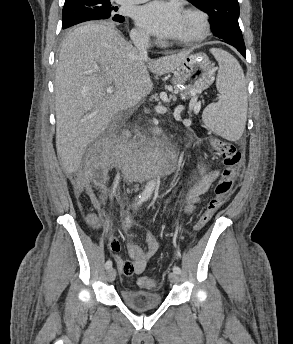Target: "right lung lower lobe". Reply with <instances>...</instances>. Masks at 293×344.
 <instances>
[{
    "label": "right lung lower lobe",
    "instance_id": "obj_1",
    "mask_svg": "<svg viewBox=\"0 0 293 344\" xmlns=\"http://www.w3.org/2000/svg\"><path fill=\"white\" fill-rule=\"evenodd\" d=\"M110 21H115V22L121 23V22L124 21V17L122 16V17L119 18V19H114V20H110Z\"/></svg>",
    "mask_w": 293,
    "mask_h": 344
}]
</instances>
